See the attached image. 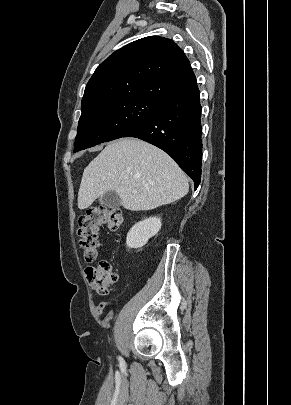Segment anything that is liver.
Here are the masks:
<instances>
[{
  "instance_id": "obj_1",
  "label": "liver",
  "mask_w": 291,
  "mask_h": 405,
  "mask_svg": "<svg viewBox=\"0 0 291 405\" xmlns=\"http://www.w3.org/2000/svg\"><path fill=\"white\" fill-rule=\"evenodd\" d=\"M109 191L118 194L125 209L142 211L183 198L189 184L164 151L136 138H121L108 144L84 169L78 208H88Z\"/></svg>"
}]
</instances>
